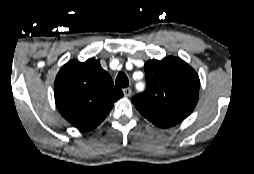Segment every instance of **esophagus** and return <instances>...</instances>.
I'll use <instances>...</instances> for the list:
<instances>
[{"label":"esophagus","instance_id":"1","mask_svg":"<svg viewBox=\"0 0 254 174\" xmlns=\"http://www.w3.org/2000/svg\"><path fill=\"white\" fill-rule=\"evenodd\" d=\"M122 91L125 97H130L132 94V90L130 88H124Z\"/></svg>","mask_w":254,"mask_h":174}]
</instances>
